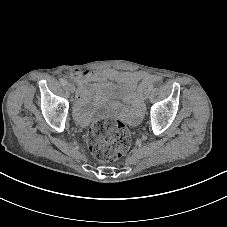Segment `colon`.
Listing matches in <instances>:
<instances>
[{"label": "colon", "instance_id": "5ec220e1", "mask_svg": "<svg viewBox=\"0 0 227 227\" xmlns=\"http://www.w3.org/2000/svg\"><path fill=\"white\" fill-rule=\"evenodd\" d=\"M130 132L121 122L100 120L88 131L87 143L92 155L100 161L110 162L121 157L129 148Z\"/></svg>", "mask_w": 227, "mask_h": 227}]
</instances>
